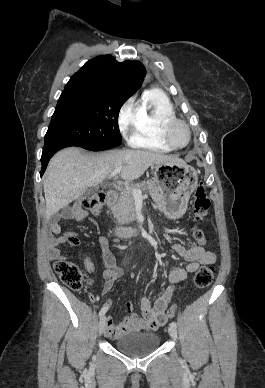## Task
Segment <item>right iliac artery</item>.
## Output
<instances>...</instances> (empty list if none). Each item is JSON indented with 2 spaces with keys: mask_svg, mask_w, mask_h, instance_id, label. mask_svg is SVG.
<instances>
[{
  "mask_svg": "<svg viewBox=\"0 0 265 388\" xmlns=\"http://www.w3.org/2000/svg\"><path fill=\"white\" fill-rule=\"evenodd\" d=\"M107 310H108V308L103 307V308L100 310V312H99V316H100V317L103 316V315L107 312Z\"/></svg>",
  "mask_w": 265,
  "mask_h": 388,
  "instance_id": "82829eb1",
  "label": "right iliac artery"
}]
</instances>
